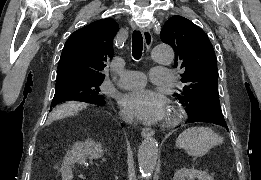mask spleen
I'll list each match as a JSON object with an SVG mask.
<instances>
[{
  "mask_svg": "<svg viewBox=\"0 0 261 180\" xmlns=\"http://www.w3.org/2000/svg\"><path fill=\"white\" fill-rule=\"evenodd\" d=\"M223 144V138L215 134L211 128H188L180 134L177 146L186 150L188 156L202 158L214 146Z\"/></svg>",
  "mask_w": 261,
  "mask_h": 180,
  "instance_id": "obj_1",
  "label": "spleen"
}]
</instances>
